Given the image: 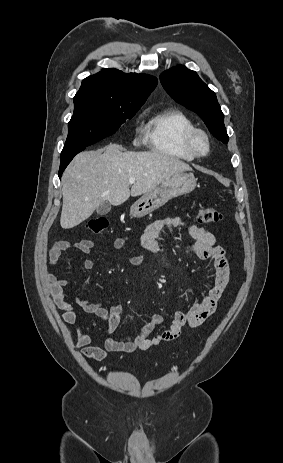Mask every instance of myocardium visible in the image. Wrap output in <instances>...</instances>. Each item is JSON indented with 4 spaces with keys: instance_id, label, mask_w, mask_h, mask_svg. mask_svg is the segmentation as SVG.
Wrapping results in <instances>:
<instances>
[{
    "instance_id": "obj_1",
    "label": "myocardium",
    "mask_w": 283,
    "mask_h": 463,
    "mask_svg": "<svg viewBox=\"0 0 283 463\" xmlns=\"http://www.w3.org/2000/svg\"><path fill=\"white\" fill-rule=\"evenodd\" d=\"M189 150L198 157L207 156L211 151L210 137L206 131L194 128L186 139Z\"/></svg>"
}]
</instances>
